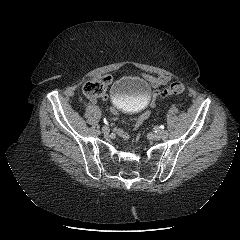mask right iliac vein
<instances>
[{
	"label": "right iliac vein",
	"mask_w": 240,
	"mask_h": 240,
	"mask_svg": "<svg viewBox=\"0 0 240 240\" xmlns=\"http://www.w3.org/2000/svg\"><path fill=\"white\" fill-rule=\"evenodd\" d=\"M109 131H110V129H109V127H107V126H104V127L102 128V132H103L104 134H109Z\"/></svg>",
	"instance_id": "63e3f726"
}]
</instances>
